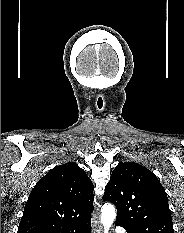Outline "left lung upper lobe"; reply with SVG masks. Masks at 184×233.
Listing matches in <instances>:
<instances>
[{
	"label": "left lung upper lobe",
	"instance_id": "1",
	"mask_svg": "<svg viewBox=\"0 0 184 233\" xmlns=\"http://www.w3.org/2000/svg\"><path fill=\"white\" fill-rule=\"evenodd\" d=\"M117 208L128 233H174L166 192L156 176L135 162H119L103 195Z\"/></svg>",
	"mask_w": 184,
	"mask_h": 233
}]
</instances>
